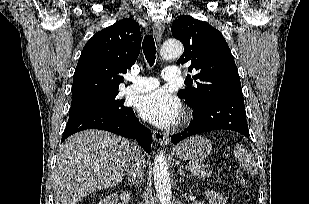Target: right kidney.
Segmentation results:
<instances>
[{"instance_id": "right-kidney-1", "label": "right kidney", "mask_w": 309, "mask_h": 204, "mask_svg": "<svg viewBox=\"0 0 309 204\" xmlns=\"http://www.w3.org/2000/svg\"><path fill=\"white\" fill-rule=\"evenodd\" d=\"M131 198V195L129 192H122L120 194V199L122 200L123 204L128 203ZM119 196L116 193L110 194L106 196L104 199H102L99 204H117L118 203Z\"/></svg>"}]
</instances>
